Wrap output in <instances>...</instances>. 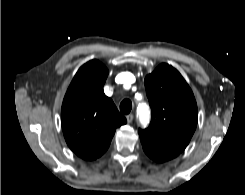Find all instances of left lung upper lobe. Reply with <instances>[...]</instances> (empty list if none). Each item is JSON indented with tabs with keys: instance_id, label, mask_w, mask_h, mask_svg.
Returning <instances> with one entry per match:
<instances>
[{
	"instance_id": "1",
	"label": "left lung upper lobe",
	"mask_w": 245,
	"mask_h": 195,
	"mask_svg": "<svg viewBox=\"0 0 245 195\" xmlns=\"http://www.w3.org/2000/svg\"><path fill=\"white\" fill-rule=\"evenodd\" d=\"M152 110L149 127L139 129L140 139L163 150L181 153L189 144L198 121L194 95L181 74L161 64L145 78Z\"/></svg>"
}]
</instances>
